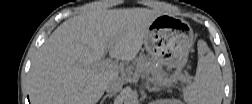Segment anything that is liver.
I'll return each mask as SVG.
<instances>
[{
    "label": "liver",
    "mask_w": 252,
    "mask_h": 104,
    "mask_svg": "<svg viewBox=\"0 0 252 104\" xmlns=\"http://www.w3.org/2000/svg\"><path fill=\"white\" fill-rule=\"evenodd\" d=\"M161 15L146 8H96L69 18L39 49L29 72L35 104H95L118 71L99 68L104 55L132 61L152 21Z\"/></svg>",
    "instance_id": "liver-1"
}]
</instances>
